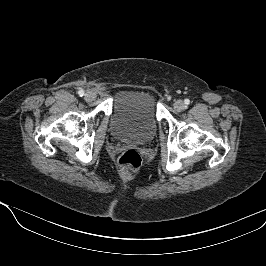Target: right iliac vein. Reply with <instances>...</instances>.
<instances>
[{"instance_id": "obj_1", "label": "right iliac vein", "mask_w": 266, "mask_h": 266, "mask_svg": "<svg viewBox=\"0 0 266 266\" xmlns=\"http://www.w3.org/2000/svg\"><path fill=\"white\" fill-rule=\"evenodd\" d=\"M84 98H85V100H86L87 102H91V101L94 100V98H95V94H94L93 92H87V93L85 94Z\"/></svg>"}]
</instances>
